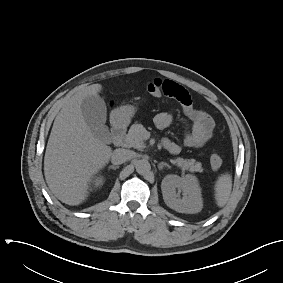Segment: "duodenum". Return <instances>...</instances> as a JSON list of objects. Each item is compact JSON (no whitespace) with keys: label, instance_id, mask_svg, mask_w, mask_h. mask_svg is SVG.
Listing matches in <instances>:
<instances>
[{"label":"duodenum","instance_id":"410a0bca","mask_svg":"<svg viewBox=\"0 0 283 283\" xmlns=\"http://www.w3.org/2000/svg\"><path fill=\"white\" fill-rule=\"evenodd\" d=\"M126 133V125L121 121H115L112 127L113 144L119 147L123 144Z\"/></svg>","mask_w":283,"mask_h":283}]
</instances>
